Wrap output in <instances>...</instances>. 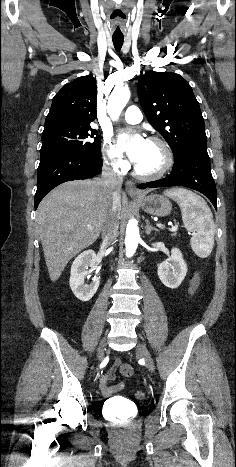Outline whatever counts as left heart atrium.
Here are the masks:
<instances>
[{"label":"left heart atrium","mask_w":236,"mask_h":467,"mask_svg":"<svg viewBox=\"0 0 236 467\" xmlns=\"http://www.w3.org/2000/svg\"><path fill=\"white\" fill-rule=\"evenodd\" d=\"M147 140L139 133L129 134L121 132L118 134V144L129 159L137 163L143 156Z\"/></svg>","instance_id":"left-heart-atrium-1"}]
</instances>
